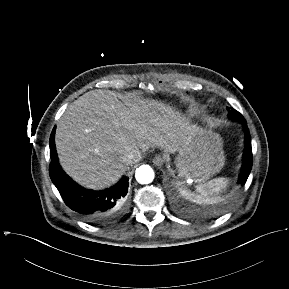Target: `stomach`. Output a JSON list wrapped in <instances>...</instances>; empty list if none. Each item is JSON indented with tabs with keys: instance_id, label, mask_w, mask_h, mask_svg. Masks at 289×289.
Listing matches in <instances>:
<instances>
[{
	"instance_id": "1",
	"label": "stomach",
	"mask_w": 289,
	"mask_h": 289,
	"mask_svg": "<svg viewBox=\"0 0 289 289\" xmlns=\"http://www.w3.org/2000/svg\"><path fill=\"white\" fill-rule=\"evenodd\" d=\"M222 144L217 133L193 127L178 150L175 162L179 173L202 180L218 173L225 163Z\"/></svg>"
}]
</instances>
